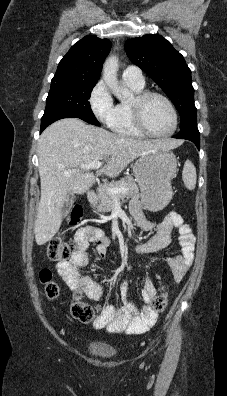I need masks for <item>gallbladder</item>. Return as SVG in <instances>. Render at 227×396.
Segmentation results:
<instances>
[{
  "instance_id": "1",
  "label": "gallbladder",
  "mask_w": 227,
  "mask_h": 396,
  "mask_svg": "<svg viewBox=\"0 0 227 396\" xmlns=\"http://www.w3.org/2000/svg\"><path fill=\"white\" fill-rule=\"evenodd\" d=\"M74 198H75L74 194H69L67 196V198L65 199V202L61 208L62 217H66L68 215V213L70 212L71 207L74 202Z\"/></svg>"
}]
</instances>
